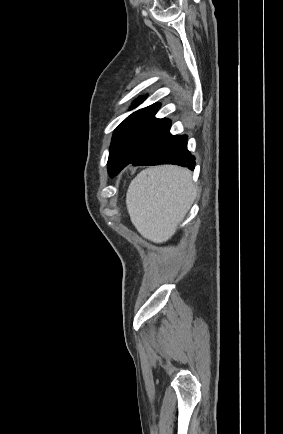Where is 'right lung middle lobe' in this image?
<instances>
[{
	"instance_id": "dd1d6c3e",
	"label": "right lung middle lobe",
	"mask_w": 283,
	"mask_h": 434,
	"mask_svg": "<svg viewBox=\"0 0 283 434\" xmlns=\"http://www.w3.org/2000/svg\"><path fill=\"white\" fill-rule=\"evenodd\" d=\"M169 119L150 116L126 118L115 130L108 159V172L116 176L124 167L133 163L156 140L170 130Z\"/></svg>"
}]
</instances>
